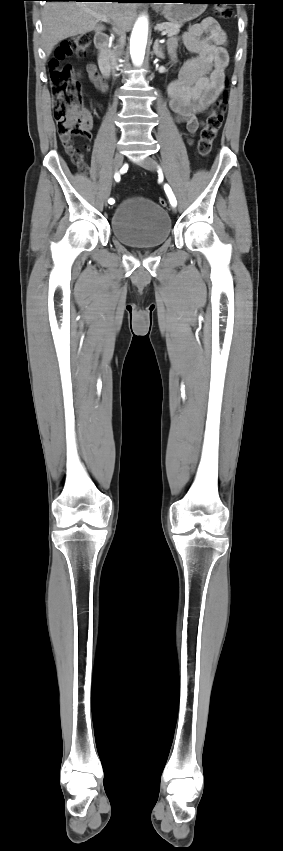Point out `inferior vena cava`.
<instances>
[{
	"mask_svg": "<svg viewBox=\"0 0 283 851\" xmlns=\"http://www.w3.org/2000/svg\"><path fill=\"white\" fill-rule=\"evenodd\" d=\"M117 34H118V36H119L118 44H117L116 49L113 51V53H112V55H111L112 72H113V74H114V75H115V72H116V67H117V65H118L117 60H118V58H119V54H120V52H121V50H122V48H123V45H124V43H125V40H126V34H125V31H123V30H118V31H117Z\"/></svg>",
	"mask_w": 283,
	"mask_h": 851,
	"instance_id": "obj_1",
	"label": "inferior vena cava"
}]
</instances>
